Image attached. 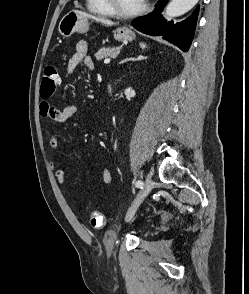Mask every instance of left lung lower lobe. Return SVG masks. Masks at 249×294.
Listing matches in <instances>:
<instances>
[{"instance_id": "left-lung-lower-lobe-1", "label": "left lung lower lobe", "mask_w": 249, "mask_h": 294, "mask_svg": "<svg viewBox=\"0 0 249 294\" xmlns=\"http://www.w3.org/2000/svg\"><path fill=\"white\" fill-rule=\"evenodd\" d=\"M167 2L168 0H159L149 15L135 19L132 25L145 34L162 36L187 52L194 36L199 7L188 18L174 25L173 21L167 22L160 14Z\"/></svg>"}]
</instances>
